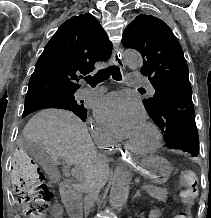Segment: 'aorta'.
<instances>
[{
  "instance_id": "aorta-1",
  "label": "aorta",
  "mask_w": 211,
  "mask_h": 218,
  "mask_svg": "<svg viewBox=\"0 0 211 218\" xmlns=\"http://www.w3.org/2000/svg\"><path fill=\"white\" fill-rule=\"evenodd\" d=\"M124 59L126 64L131 68H138L142 64L141 55L134 50H128L124 53ZM119 165L112 179V186L110 190V202L114 207L122 206L129 194L130 187V174L127 168L126 161Z\"/></svg>"
}]
</instances>
